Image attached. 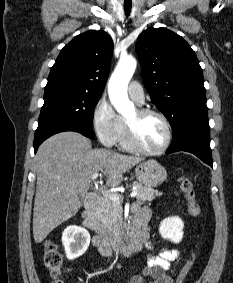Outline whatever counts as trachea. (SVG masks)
Listing matches in <instances>:
<instances>
[{
  "label": "trachea",
  "instance_id": "3493384b",
  "mask_svg": "<svg viewBox=\"0 0 233 283\" xmlns=\"http://www.w3.org/2000/svg\"><path fill=\"white\" fill-rule=\"evenodd\" d=\"M124 10H125L126 16H129L131 12V6H124Z\"/></svg>",
  "mask_w": 233,
  "mask_h": 283
}]
</instances>
